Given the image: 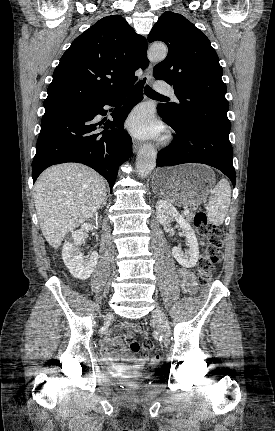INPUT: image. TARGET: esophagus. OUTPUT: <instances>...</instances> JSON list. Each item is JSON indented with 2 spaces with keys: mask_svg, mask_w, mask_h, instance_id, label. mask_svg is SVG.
Masks as SVG:
<instances>
[{
  "mask_svg": "<svg viewBox=\"0 0 275 431\" xmlns=\"http://www.w3.org/2000/svg\"><path fill=\"white\" fill-rule=\"evenodd\" d=\"M153 65L150 63L147 69L144 72V77L146 82L149 83L152 79ZM141 147V143L134 141L133 142V151L136 152Z\"/></svg>",
  "mask_w": 275,
  "mask_h": 431,
  "instance_id": "obj_1",
  "label": "esophagus"
}]
</instances>
